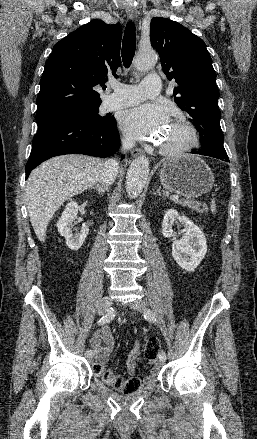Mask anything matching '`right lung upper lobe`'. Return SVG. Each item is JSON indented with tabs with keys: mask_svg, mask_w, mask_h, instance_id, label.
Segmentation results:
<instances>
[{
	"mask_svg": "<svg viewBox=\"0 0 257 439\" xmlns=\"http://www.w3.org/2000/svg\"><path fill=\"white\" fill-rule=\"evenodd\" d=\"M121 36L119 24L93 20L55 44L40 80L37 122L100 106L93 88L117 76Z\"/></svg>",
	"mask_w": 257,
	"mask_h": 439,
	"instance_id": "cb5924a9",
	"label": "right lung upper lobe"
}]
</instances>
